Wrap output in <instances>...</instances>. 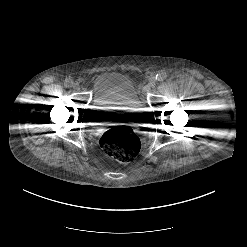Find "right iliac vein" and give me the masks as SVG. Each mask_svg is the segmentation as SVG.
<instances>
[{"label":"right iliac vein","instance_id":"right-iliac-vein-1","mask_svg":"<svg viewBox=\"0 0 247 247\" xmlns=\"http://www.w3.org/2000/svg\"><path fill=\"white\" fill-rule=\"evenodd\" d=\"M73 89L74 90H80V85L79 84H77V83H75L74 85H73Z\"/></svg>","mask_w":247,"mask_h":247}]
</instances>
